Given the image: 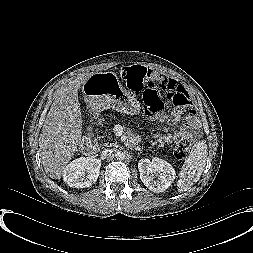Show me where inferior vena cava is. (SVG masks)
<instances>
[{"mask_svg":"<svg viewBox=\"0 0 253 253\" xmlns=\"http://www.w3.org/2000/svg\"><path fill=\"white\" fill-rule=\"evenodd\" d=\"M112 150L111 149H108V150H104L103 152H102V154L104 155V156H108V157H111L112 156Z\"/></svg>","mask_w":253,"mask_h":253,"instance_id":"602c4592","label":"inferior vena cava"}]
</instances>
